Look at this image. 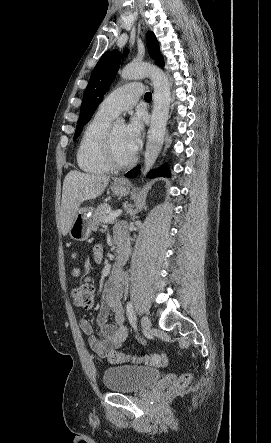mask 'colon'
<instances>
[{"label":"colon","instance_id":"1","mask_svg":"<svg viewBox=\"0 0 271 443\" xmlns=\"http://www.w3.org/2000/svg\"><path fill=\"white\" fill-rule=\"evenodd\" d=\"M73 275L81 276L80 282L72 289L71 296L76 306L83 309H91L94 304L95 288L93 283L86 277V268H75ZM108 361L113 364L123 362H139L151 364L154 366H164L167 363V358L164 354L153 353L149 355H128L118 351H111L107 355ZM191 381V374L184 373L180 375L173 384V391H181L186 388Z\"/></svg>","mask_w":271,"mask_h":443}]
</instances>
